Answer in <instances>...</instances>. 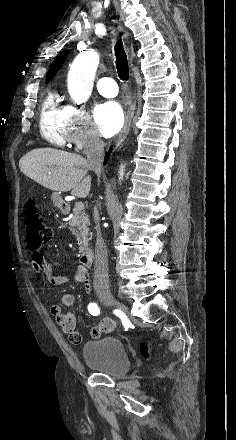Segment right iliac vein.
<instances>
[{
  "label": "right iliac vein",
  "instance_id": "1",
  "mask_svg": "<svg viewBox=\"0 0 236 440\" xmlns=\"http://www.w3.org/2000/svg\"><path fill=\"white\" fill-rule=\"evenodd\" d=\"M99 297L101 299V301L106 305V306H116L119 309L123 310L124 312H128L127 307L125 304H123L122 302L116 300L114 298V296L109 292V291H102L99 293Z\"/></svg>",
  "mask_w": 236,
  "mask_h": 440
}]
</instances>
